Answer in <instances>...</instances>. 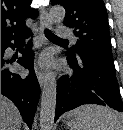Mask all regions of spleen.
<instances>
[{
  "instance_id": "1",
  "label": "spleen",
  "mask_w": 123,
  "mask_h": 130,
  "mask_svg": "<svg viewBox=\"0 0 123 130\" xmlns=\"http://www.w3.org/2000/svg\"><path fill=\"white\" fill-rule=\"evenodd\" d=\"M72 130H123L118 114L108 107L83 105L68 113Z\"/></svg>"
}]
</instances>
